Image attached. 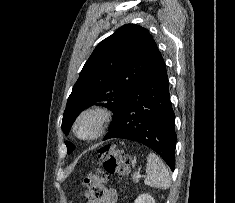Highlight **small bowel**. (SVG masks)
<instances>
[{
  "mask_svg": "<svg viewBox=\"0 0 235 203\" xmlns=\"http://www.w3.org/2000/svg\"><path fill=\"white\" fill-rule=\"evenodd\" d=\"M118 194L117 191L113 188L106 190L105 195L99 199H93L88 203H117Z\"/></svg>",
  "mask_w": 235,
  "mask_h": 203,
  "instance_id": "obj_1",
  "label": "small bowel"
}]
</instances>
